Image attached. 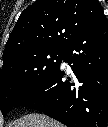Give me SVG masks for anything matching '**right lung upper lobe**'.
<instances>
[{
  "instance_id": "cb5924a9",
  "label": "right lung upper lobe",
  "mask_w": 108,
  "mask_h": 127,
  "mask_svg": "<svg viewBox=\"0 0 108 127\" xmlns=\"http://www.w3.org/2000/svg\"><path fill=\"white\" fill-rule=\"evenodd\" d=\"M104 19L97 0H36L13 28L3 65L24 54L65 50L76 37Z\"/></svg>"
}]
</instances>
